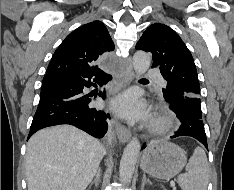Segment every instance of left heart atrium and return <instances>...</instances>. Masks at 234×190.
Returning <instances> with one entry per match:
<instances>
[{
	"instance_id": "left-heart-atrium-1",
	"label": "left heart atrium",
	"mask_w": 234,
	"mask_h": 190,
	"mask_svg": "<svg viewBox=\"0 0 234 190\" xmlns=\"http://www.w3.org/2000/svg\"><path fill=\"white\" fill-rule=\"evenodd\" d=\"M111 106L119 115L131 121L145 119L148 116L146 106L133 92L120 95L112 101Z\"/></svg>"
}]
</instances>
